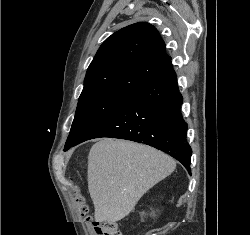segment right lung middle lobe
<instances>
[{
    "mask_svg": "<svg viewBox=\"0 0 250 235\" xmlns=\"http://www.w3.org/2000/svg\"><path fill=\"white\" fill-rule=\"evenodd\" d=\"M132 94L102 93L79 99L65 147L77 142L87 131L121 107Z\"/></svg>",
    "mask_w": 250,
    "mask_h": 235,
    "instance_id": "right-lung-middle-lobe-1",
    "label": "right lung middle lobe"
}]
</instances>
